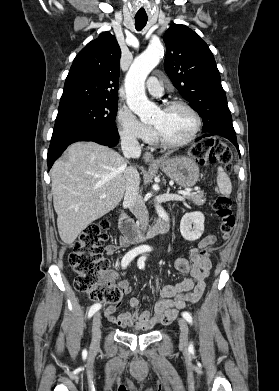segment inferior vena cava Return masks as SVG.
<instances>
[{"instance_id": "obj_1", "label": "inferior vena cava", "mask_w": 279, "mask_h": 391, "mask_svg": "<svg viewBox=\"0 0 279 391\" xmlns=\"http://www.w3.org/2000/svg\"><path fill=\"white\" fill-rule=\"evenodd\" d=\"M121 148L125 158H137L141 155V147L137 138L131 134H123L121 137ZM126 186L124 195V204L136 217L140 229L145 232L149 222L148 210L139 194L140 178L137 170L129 166L124 172Z\"/></svg>"}]
</instances>
